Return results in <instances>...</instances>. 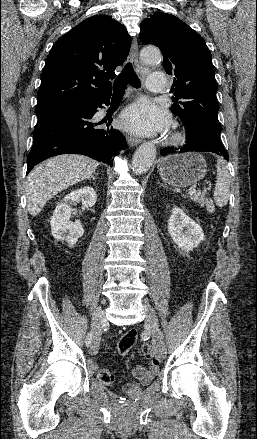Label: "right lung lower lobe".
<instances>
[{"label": "right lung lower lobe", "instance_id": "right-lung-lower-lobe-1", "mask_svg": "<svg viewBox=\"0 0 257 439\" xmlns=\"http://www.w3.org/2000/svg\"><path fill=\"white\" fill-rule=\"evenodd\" d=\"M110 97L91 103L68 106L37 116L33 146L27 157V174L39 162L60 154H82L112 166V156L126 146L123 134L109 127L112 119L95 121L97 108L108 105Z\"/></svg>", "mask_w": 257, "mask_h": 439}]
</instances>
